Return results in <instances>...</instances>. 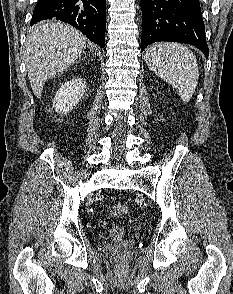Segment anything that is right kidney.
I'll return each mask as SVG.
<instances>
[{
  "label": "right kidney",
  "mask_w": 233,
  "mask_h": 294,
  "mask_svg": "<svg viewBox=\"0 0 233 294\" xmlns=\"http://www.w3.org/2000/svg\"><path fill=\"white\" fill-rule=\"evenodd\" d=\"M85 89L84 79H71L65 82L55 94L53 108L61 114L70 112L83 97Z\"/></svg>",
  "instance_id": "right-kidney-1"
}]
</instances>
